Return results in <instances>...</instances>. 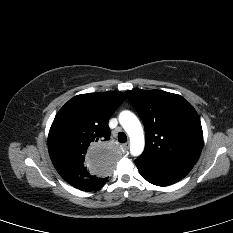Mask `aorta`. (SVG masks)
I'll list each match as a JSON object with an SVG mask.
<instances>
[{"label": "aorta", "mask_w": 233, "mask_h": 233, "mask_svg": "<svg viewBox=\"0 0 233 233\" xmlns=\"http://www.w3.org/2000/svg\"><path fill=\"white\" fill-rule=\"evenodd\" d=\"M119 122L130 138V153L139 156L145 146L143 128L139 119L130 111H122Z\"/></svg>", "instance_id": "obj_1"}]
</instances>
